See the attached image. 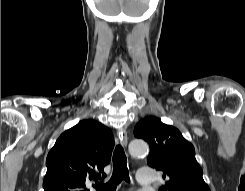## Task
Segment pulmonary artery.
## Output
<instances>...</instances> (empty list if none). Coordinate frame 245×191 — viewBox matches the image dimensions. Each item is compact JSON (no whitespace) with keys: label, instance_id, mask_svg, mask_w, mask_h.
Returning a JSON list of instances; mask_svg holds the SVG:
<instances>
[{"label":"pulmonary artery","instance_id":"pulmonary-artery-1","mask_svg":"<svg viewBox=\"0 0 245 191\" xmlns=\"http://www.w3.org/2000/svg\"><path fill=\"white\" fill-rule=\"evenodd\" d=\"M137 180L139 185L149 186L154 183V172L149 167L140 168L137 172Z\"/></svg>","mask_w":245,"mask_h":191}]
</instances>
